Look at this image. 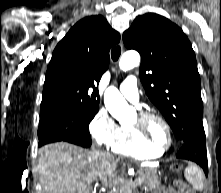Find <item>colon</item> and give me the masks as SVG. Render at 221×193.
<instances>
[{
	"instance_id": "obj_1",
	"label": "colon",
	"mask_w": 221,
	"mask_h": 193,
	"mask_svg": "<svg viewBox=\"0 0 221 193\" xmlns=\"http://www.w3.org/2000/svg\"><path fill=\"white\" fill-rule=\"evenodd\" d=\"M172 171V174L176 177L177 179V183L179 184V187L182 188L183 190V193H195L193 190H191L190 188H188L185 184H183L179 178L181 176V173H182V169L180 166L178 165H174L171 169Z\"/></svg>"
}]
</instances>
